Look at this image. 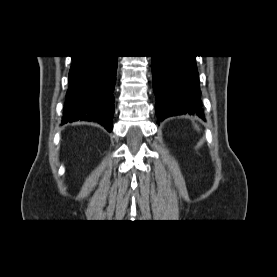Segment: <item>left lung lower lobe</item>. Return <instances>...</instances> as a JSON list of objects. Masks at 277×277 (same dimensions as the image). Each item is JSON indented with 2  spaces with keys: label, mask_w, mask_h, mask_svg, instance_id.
I'll use <instances>...</instances> for the list:
<instances>
[{
  "label": "left lung lower lobe",
  "mask_w": 277,
  "mask_h": 277,
  "mask_svg": "<svg viewBox=\"0 0 277 277\" xmlns=\"http://www.w3.org/2000/svg\"><path fill=\"white\" fill-rule=\"evenodd\" d=\"M152 73L159 120L181 114L203 119L195 56H152Z\"/></svg>",
  "instance_id": "1"
}]
</instances>
